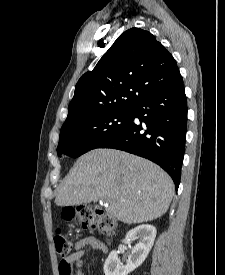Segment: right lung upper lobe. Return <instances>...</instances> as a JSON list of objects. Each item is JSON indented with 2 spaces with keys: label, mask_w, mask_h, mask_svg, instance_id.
<instances>
[{
  "label": "right lung upper lobe",
  "mask_w": 225,
  "mask_h": 275,
  "mask_svg": "<svg viewBox=\"0 0 225 275\" xmlns=\"http://www.w3.org/2000/svg\"><path fill=\"white\" fill-rule=\"evenodd\" d=\"M181 81L166 48L150 32L131 28L79 79L63 126L102 112L131 110L151 94Z\"/></svg>",
  "instance_id": "right-lung-upper-lobe-1"
}]
</instances>
